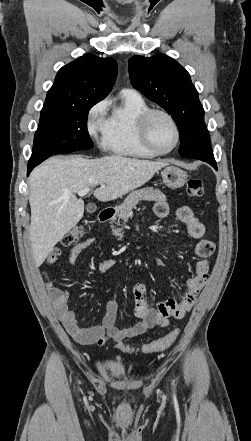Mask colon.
I'll list each match as a JSON object with an SVG mask.
<instances>
[{"mask_svg": "<svg viewBox=\"0 0 251 441\" xmlns=\"http://www.w3.org/2000/svg\"><path fill=\"white\" fill-rule=\"evenodd\" d=\"M187 193L191 197H202L204 195L203 183L198 178H190L187 181ZM85 234L83 226L78 225L69 230L61 239V245L67 247L77 243ZM179 335V329H174L164 337L144 345L141 348H134L130 345L120 343L118 347L125 352L141 351L145 354L156 353L165 350L170 347L177 339Z\"/></svg>", "mask_w": 251, "mask_h": 441, "instance_id": "5ec220e1", "label": "colon"}]
</instances>
